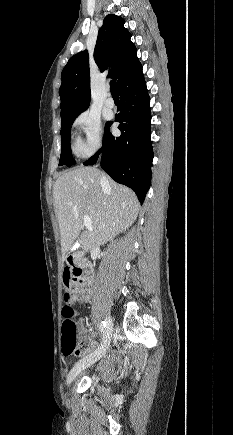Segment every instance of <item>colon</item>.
Masks as SVG:
<instances>
[{
	"instance_id": "5ec220e1",
	"label": "colon",
	"mask_w": 233,
	"mask_h": 435,
	"mask_svg": "<svg viewBox=\"0 0 233 435\" xmlns=\"http://www.w3.org/2000/svg\"><path fill=\"white\" fill-rule=\"evenodd\" d=\"M77 276L74 275L71 269L65 268L63 272V286L70 288L78 284ZM67 302L62 310V324H61V349L65 355H82L85 348L78 343V326L75 322V309L70 304L69 298L65 299Z\"/></svg>"
}]
</instances>
